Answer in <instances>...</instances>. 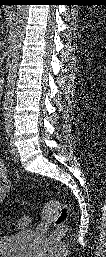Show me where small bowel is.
Listing matches in <instances>:
<instances>
[{
    "label": "small bowel",
    "mask_w": 106,
    "mask_h": 257,
    "mask_svg": "<svg viewBox=\"0 0 106 257\" xmlns=\"http://www.w3.org/2000/svg\"><path fill=\"white\" fill-rule=\"evenodd\" d=\"M11 181L7 176V170L3 162H0V199L1 202L6 198L10 189Z\"/></svg>",
    "instance_id": "obj_1"
}]
</instances>
